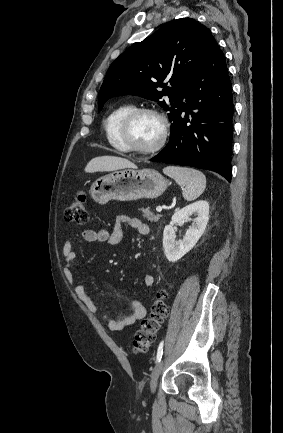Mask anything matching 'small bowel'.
<instances>
[{
	"label": "small bowel",
	"instance_id": "1",
	"mask_svg": "<svg viewBox=\"0 0 283 433\" xmlns=\"http://www.w3.org/2000/svg\"><path fill=\"white\" fill-rule=\"evenodd\" d=\"M123 225L135 229L141 235L149 234V226L143 223L136 217L128 215H119L116 217L114 227L111 231L105 228L85 229L81 232V238L86 242H106L109 245L116 246L121 243L123 238ZM62 255L64 258L63 273L68 283L73 287L78 299L92 313L99 311L98 306L86 293L85 287L76 282L72 265L76 259V254L73 251V245L70 240H66L62 247ZM143 283L146 287H151L154 284V276L146 274L143 277ZM131 313L119 319L109 317L107 314H102V319L106 323L111 332H120L134 324L136 321L143 319L146 316V308L139 300L130 301Z\"/></svg>",
	"mask_w": 283,
	"mask_h": 433
}]
</instances>
